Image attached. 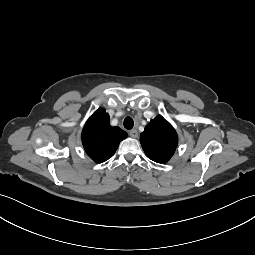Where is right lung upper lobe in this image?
<instances>
[{
  "label": "right lung upper lobe",
  "mask_w": 255,
  "mask_h": 255,
  "mask_svg": "<svg viewBox=\"0 0 255 255\" xmlns=\"http://www.w3.org/2000/svg\"><path fill=\"white\" fill-rule=\"evenodd\" d=\"M128 134L119 127L110 126V117L100 108L87 120L82 131V143L88 156L102 163L114 155L119 143Z\"/></svg>",
  "instance_id": "obj_1"
}]
</instances>
